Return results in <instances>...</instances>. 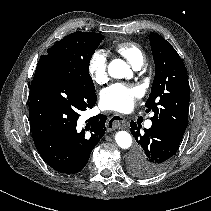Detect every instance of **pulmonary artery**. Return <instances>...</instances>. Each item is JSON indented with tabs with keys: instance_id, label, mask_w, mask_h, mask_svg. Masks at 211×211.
Wrapping results in <instances>:
<instances>
[{
	"instance_id": "obj_1",
	"label": "pulmonary artery",
	"mask_w": 211,
	"mask_h": 211,
	"mask_svg": "<svg viewBox=\"0 0 211 211\" xmlns=\"http://www.w3.org/2000/svg\"><path fill=\"white\" fill-rule=\"evenodd\" d=\"M135 68L139 69L140 66H136ZM145 126H146V128H150L152 126V121H150V120L146 121Z\"/></svg>"
}]
</instances>
